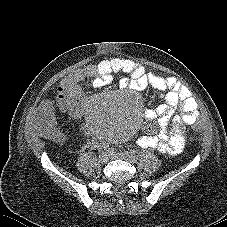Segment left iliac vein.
I'll use <instances>...</instances> for the list:
<instances>
[{
    "label": "left iliac vein",
    "mask_w": 227,
    "mask_h": 227,
    "mask_svg": "<svg viewBox=\"0 0 227 227\" xmlns=\"http://www.w3.org/2000/svg\"><path fill=\"white\" fill-rule=\"evenodd\" d=\"M115 157L118 159L126 160L130 163H133L135 161L134 156L131 153L127 152H118L115 154Z\"/></svg>",
    "instance_id": "1"
}]
</instances>
